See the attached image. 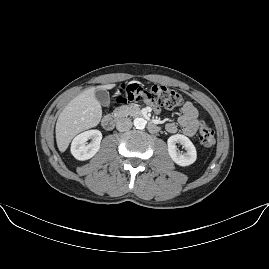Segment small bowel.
I'll use <instances>...</instances> for the list:
<instances>
[{"instance_id": "small-bowel-1", "label": "small bowel", "mask_w": 269, "mask_h": 269, "mask_svg": "<svg viewBox=\"0 0 269 269\" xmlns=\"http://www.w3.org/2000/svg\"><path fill=\"white\" fill-rule=\"evenodd\" d=\"M198 112L196 107L191 102H186L181 107V114L177 122H171L166 125V130L169 133H176L180 127L183 133L187 136H193L199 127L197 119Z\"/></svg>"}]
</instances>
